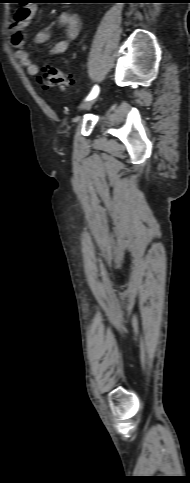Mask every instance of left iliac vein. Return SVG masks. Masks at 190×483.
<instances>
[{
  "instance_id": "1",
  "label": "left iliac vein",
  "mask_w": 190,
  "mask_h": 483,
  "mask_svg": "<svg viewBox=\"0 0 190 483\" xmlns=\"http://www.w3.org/2000/svg\"><path fill=\"white\" fill-rule=\"evenodd\" d=\"M95 101H96V99L94 98V99L86 102L85 104H83V105H81L79 107V110H83V109L89 108L90 106H92L95 103Z\"/></svg>"
}]
</instances>
